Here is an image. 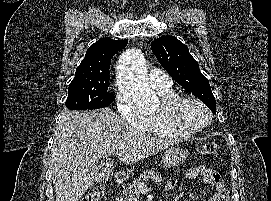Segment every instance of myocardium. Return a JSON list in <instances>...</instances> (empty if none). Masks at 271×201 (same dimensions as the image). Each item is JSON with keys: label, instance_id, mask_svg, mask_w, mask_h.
I'll return each instance as SVG.
<instances>
[{"label": "myocardium", "instance_id": "obj_1", "mask_svg": "<svg viewBox=\"0 0 271 201\" xmlns=\"http://www.w3.org/2000/svg\"><path fill=\"white\" fill-rule=\"evenodd\" d=\"M195 104L201 107L208 115V122L202 126H196L186 121L183 116V108L186 104ZM166 122L173 127L188 133H197L207 129L213 122V114L210 108L201 100L186 96L174 95L161 100V106L158 112Z\"/></svg>", "mask_w": 271, "mask_h": 201}]
</instances>
